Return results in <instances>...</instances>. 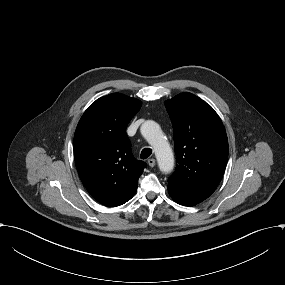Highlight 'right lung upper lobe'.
Listing matches in <instances>:
<instances>
[{
  "label": "right lung upper lobe",
  "mask_w": 285,
  "mask_h": 285,
  "mask_svg": "<svg viewBox=\"0 0 285 285\" xmlns=\"http://www.w3.org/2000/svg\"><path fill=\"white\" fill-rule=\"evenodd\" d=\"M141 104L120 93L109 94L92 103L77 125L76 168L88 192L105 206L130 200L146 167L133 157L125 131Z\"/></svg>",
  "instance_id": "right-lung-upper-lobe-1"
}]
</instances>
